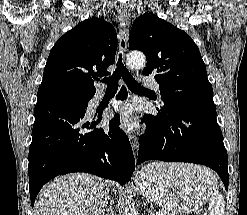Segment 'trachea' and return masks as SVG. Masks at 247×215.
Segmentation results:
<instances>
[{"instance_id":"3493384b","label":"trachea","mask_w":247,"mask_h":215,"mask_svg":"<svg viewBox=\"0 0 247 215\" xmlns=\"http://www.w3.org/2000/svg\"><path fill=\"white\" fill-rule=\"evenodd\" d=\"M122 77L126 85L131 91H150L141 86L129 73L122 62V55L119 54L117 67L111 77L101 79L100 81L107 84V90H117L119 79ZM99 81V79H98Z\"/></svg>"}]
</instances>
